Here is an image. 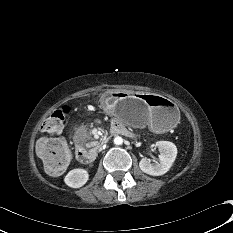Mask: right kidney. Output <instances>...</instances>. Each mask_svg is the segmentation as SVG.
Instances as JSON below:
<instances>
[{
    "mask_svg": "<svg viewBox=\"0 0 233 233\" xmlns=\"http://www.w3.org/2000/svg\"><path fill=\"white\" fill-rule=\"evenodd\" d=\"M89 178V174L85 169L77 168L73 169L64 178L66 185L72 188L82 187Z\"/></svg>",
    "mask_w": 233,
    "mask_h": 233,
    "instance_id": "right-kidney-1",
    "label": "right kidney"
}]
</instances>
